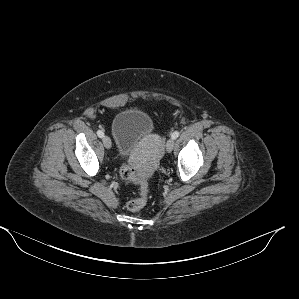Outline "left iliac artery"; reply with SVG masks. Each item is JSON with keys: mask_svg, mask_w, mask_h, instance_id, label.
I'll return each instance as SVG.
<instances>
[{"mask_svg": "<svg viewBox=\"0 0 299 299\" xmlns=\"http://www.w3.org/2000/svg\"><path fill=\"white\" fill-rule=\"evenodd\" d=\"M178 136H179V132L178 131H175L173 134H172V138L173 139H176V138H178Z\"/></svg>", "mask_w": 299, "mask_h": 299, "instance_id": "1", "label": "left iliac artery"}]
</instances>
